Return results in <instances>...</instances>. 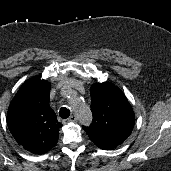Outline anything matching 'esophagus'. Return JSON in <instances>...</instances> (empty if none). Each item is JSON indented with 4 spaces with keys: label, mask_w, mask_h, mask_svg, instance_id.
<instances>
[{
    "label": "esophagus",
    "mask_w": 171,
    "mask_h": 171,
    "mask_svg": "<svg viewBox=\"0 0 171 171\" xmlns=\"http://www.w3.org/2000/svg\"><path fill=\"white\" fill-rule=\"evenodd\" d=\"M76 120H77V117L75 115H72L68 119L63 120V123L67 124L69 122H75Z\"/></svg>",
    "instance_id": "34e87169"
}]
</instances>
